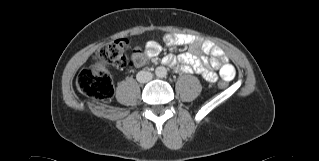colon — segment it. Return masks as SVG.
I'll return each instance as SVG.
<instances>
[{
	"mask_svg": "<svg viewBox=\"0 0 319 161\" xmlns=\"http://www.w3.org/2000/svg\"><path fill=\"white\" fill-rule=\"evenodd\" d=\"M129 41L126 38L114 39L102 47L98 54L103 62H97L83 69L77 77V89L85 96L96 100H109L114 94L113 78L105 63L117 68H140L146 61L145 53L141 50L129 54ZM219 87L225 82L219 81Z\"/></svg>",
	"mask_w": 319,
	"mask_h": 161,
	"instance_id": "obj_1",
	"label": "colon"
}]
</instances>
